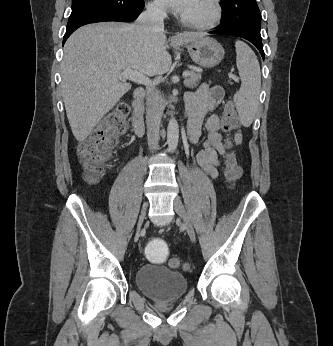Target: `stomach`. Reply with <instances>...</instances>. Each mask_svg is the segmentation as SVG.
I'll return each mask as SVG.
<instances>
[{
    "mask_svg": "<svg viewBox=\"0 0 333 346\" xmlns=\"http://www.w3.org/2000/svg\"><path fill=\"white\" fill-rule=\"evenodd\" d=\"M191 59L199 66L212 68L224 57V49L215 39L202 37L187 45Z\"/></svg>",
    "mask_w": 333,
    "mask_h": 346,
    "instance_id": "1",
    "label": "stomach"
}]
</instances>
